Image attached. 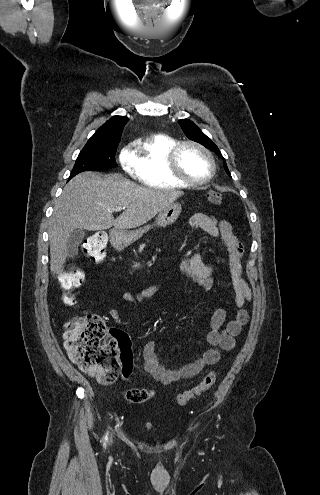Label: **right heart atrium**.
I'll return each instance as SVG.
<instances>
[{"instance_id": "d8ad5b80", "label": "right heart atrium", "mask_w": 320, "mask_h": 495, "mask_svg": "<svg viewBox=\"0 0 320 495\" xmlns=\"http://www.w3.org/2000/svg\"><path fill=\"white\" fill-rule=\"evenodd\" d=\"M119 162L123 170L135 176L137 163L136 156L131 145H127L121 150L119 154Z\"/></svg>"}]
</instances>
